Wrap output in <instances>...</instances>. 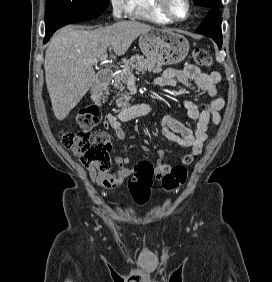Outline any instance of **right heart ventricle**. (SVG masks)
Here are the masks:
<instances>
[{"label": "right heart ventricle", "mask_w": 272, "mask_h": 282, "mask_svg": "<svg viewBox=\"0 0 272 282\" xmlns=\"http://www.w3.org/2000/svg\"><path fill=\"white\" fill-rule=\"evenodd\" d=\"M132 4L134 8L133 18L145 19L159 24L172 22L158 9L156 0H132Z\"/></svg>", "instance_id": "1"}]
</instances>
